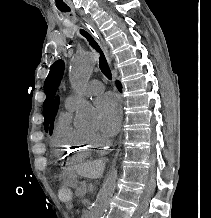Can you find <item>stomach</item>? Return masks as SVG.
<instances>
[{
    "instance_id": "obj_1",
    "label": "stomach",
    "mask_w": 211,
    "mask_h": 218,
    "mask_svg": "<svg viewBox=\"0 0 211 218\" xmlns=\"http://www.w3.org/2000/svg\"><path fill=\"white\" fill-rule=\"evenodd\" d=\"M64 183L65 185L69 186V187H77L78 186V180H77V175L75 174H67L64 177Z\"/></svg>"
}]
</instances>
